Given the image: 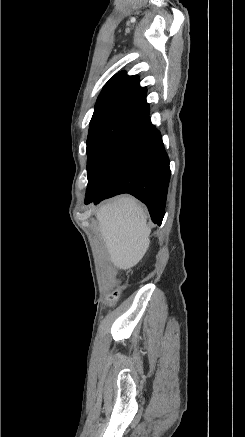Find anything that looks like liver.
<instances>
[{
  "mask_svg": "<svg viewBox=\"0 0 245 437\" xmlns=\"http://www.w3.org/2000/svg\"><path fill=\"white\" fill-rule=\"evenodd\" d=\"M96 218L111 262L119 269L130 270L150 244L151 230L143 207L131 197H120L101 206Z\"/></svg>",
  "mask_w": 245,
  "mask_h": 437,
  "instance_id": "liver-1",
  "label": "liver"
}]
</instances>
